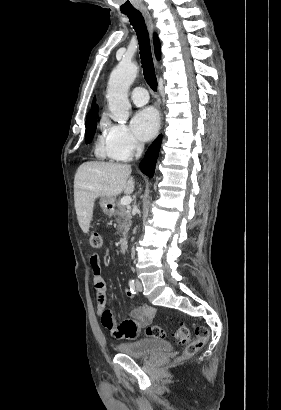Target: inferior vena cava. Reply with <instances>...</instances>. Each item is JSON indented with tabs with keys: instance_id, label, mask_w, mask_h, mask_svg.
Listing matches in <instances>:
<instances>
[{
	"instance_id": "1",
	"label": "inferior vena cava",
	"mask_w": 281,
	"mask_h": 410,
	"mask_svg": "<svg viewBox=\"0 0 281 410\" xmlns=\"http://www.w3.org/2000/svg\"><path fill=\"white\" fill-rule=\"evenodd\" d=\"M144 145L143 143H137V153L136 158H139L143 152Z\"/></svg>"
}]
</instances>
